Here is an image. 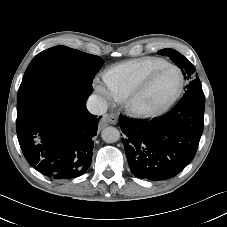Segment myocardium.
Here are the masks:
<instances>
[{"mask_svg": "<svg viewBox=\"0 0 227 227\" xmlns=\"http://www.w3.org/2000/svg\"><path fill=\"white\" fill-rule=\"evenodd\" d=\"M167 69H175L179 74V85L174 94L163 104L155 108H142L137 105L138 99L148 90L155 78ZM184 88L182 70L174 64H166L150 73L138 86L124 97V106L129 114L138 118H154L165 113L179 98Z\"/></svg>", "mask_w": 227, "mask_h": 227, "instance_id": "1", "label": "myocardium"}]
</instances>
